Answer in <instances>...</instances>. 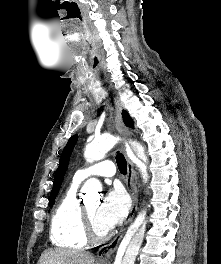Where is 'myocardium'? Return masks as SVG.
<instances>
[{
	"label": "myocardium",
	"instance_id": "1",
	"mask_svg": "<svg viewBox=\"0 0 221 264\" xmlns=\"http://www.w3.org/2000/svg\"><path fill=\"white\" fill-rule=\"evenodd\" d=\"M81 216L84 233L89 241L101 242L108 239V237L110 236V230L106 231L105 233H98L94 228L93 222L89 216L85 205H81Z\"/></svg>",
	"mask_w": 221,
	"mask_h": 264
}]
</instances>
